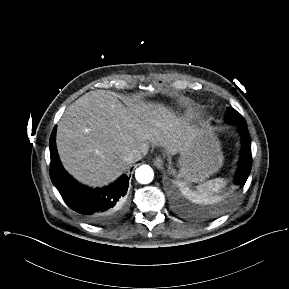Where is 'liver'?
I'll return each instance as SVG.
<instances>
[{
    "label": "liver",
    "mask_w": 289,
    "mask_h": 289,
    "mask_svg": "<svg viewBox=\"0 0 289 289\" xmlns=\"http://www.w3.org/2000/svg\"><path fill=\"white\" fill-rule=\"evenodd\" d=\"M119 101L109 90L90 91L62 115L56 133L60 160L69 174L91 187L115 181L131 165L125 156L142 145L176 153L192 132L160 104Z\"/></svg>",
    "instance_id": "liver-1"
}]
</instances>
